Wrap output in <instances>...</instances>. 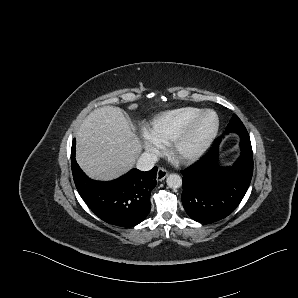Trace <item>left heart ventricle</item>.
Wrapping results in <instances>:
<instances>
[{"label": "left heart ventricle", "instance_id": "1", "mask_svg": "<svg viewBox=\"0 0 298 298\" xmlns=\"http://www.w3.org/2000/svg\"><path fill=\"white\" fill-rule=\"evenodd\" d=\"M213 117L205 116L187 136L183 143V150L189 151L195 148L212 130Z\"/></svg>", "mask_w": 298, "mask_h": 298}]
</instances>
